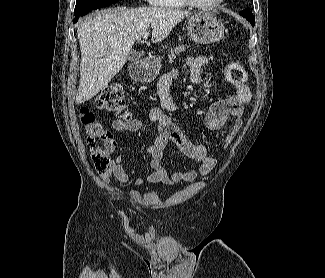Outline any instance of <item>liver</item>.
Returning a JSON list of instances; mask_svg holds the SVG:
<instances>
[{
    "label": "liver",
    "mask_w": 325,
    "mask_h": 278,
    "mask_svg": "<svg viewBox=\"0 0 325 278\" xmlns=\"http://www.w3.org/2000/svg\"><path fill=\"white\" fill-rule=\"evenodd\" d=\"M190 15L172 8L138 7L105 10L87 17L77 30L81 63L76 104L90 100L108 85L149 27L152 42L157 43Z\"/></svg>",
    "instance_id": "liver-1"
}]
</instances>
